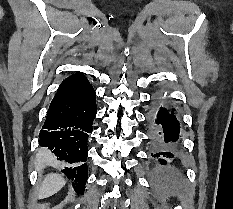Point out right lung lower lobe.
I'll return each mask as SVG.
<instances>
[{"label": "right lung lower lobe", "instance_id": "1", "mask_svg": "<svg viewBox=\"0 0 233 209\" xmlns=\"http://www.w3.org/2000/svg\"><path fill=\"white\" fill-rule=\"evenodd\" d=\"M96 113L92 85L82 73L72 74L59 86L39 133L40 144L65 162L62 172L73 180L79 194L84 193L87 181V139Z\"/></svg>", "mask_w": 233, "mask_h": 209}]
</instances>
